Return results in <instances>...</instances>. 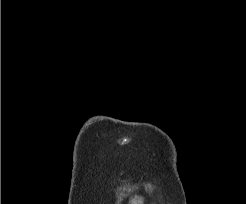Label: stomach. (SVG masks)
I'll return each instance as SVG.
<instances>
[{"mask_svg": "<svg viewBox=\"0 0 246 204\" xmlns=\"http://www.w3.org/2000/svg\"><path fill=\"white\" fill-rule=\"evenodd\" d=\"M144 198L141 196H134L129 199L128 204H143Z\"/></svg>", "mask_w": 246, "mask_h": 204, "instance_id": "stomach-1", "label": "stomach"}]
</instances>
